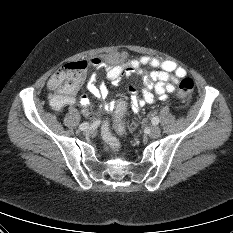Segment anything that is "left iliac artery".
I'll return each mask as SVG.
<instances>
[{
	"label": "left iliac artery",
	"mask_w": 233,
	"mask_h": 233,
	"mask_svg": "<svg viewBox=\"0 0 233 233\" xmlns=\"http://www.w3.org/2000/svg\"><path fill=\"white\" fill-rule=\"evenodd\" d=\"M159 118L158 117H154V118H152V120H151V122H152V124L153 125H157L158 123H159Z\"/></svg>",
	"instance_id": "obj_1"
}]
</instances>
